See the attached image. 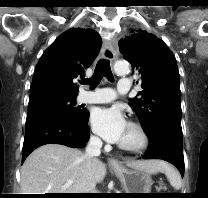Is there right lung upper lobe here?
I'll list each match as a JSON object with an SVG mask.
<instances>
[{"label":"right lung upper lobe","mask_w":208,"mask_h":198,"mask_svg":"<svg viewBox=\"0 0 208 198\" xmlns=\"http://www.w3.org/2000/svg\"><path fill=\"white\" fill-rule=\"evenodd\" d=\"M101 45V37L92 29L71 28L60 35L36 66L28 107L76 98L79 90L73 80L83 77Z\"/></svg>","instance_id":"obj_1"}]
</instances>
